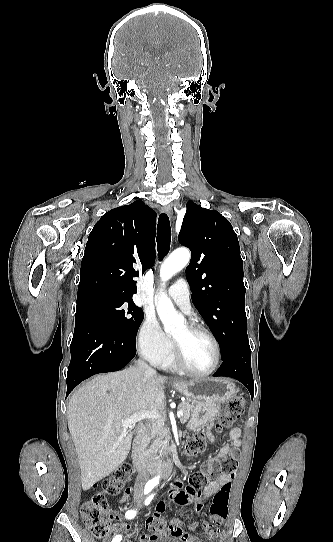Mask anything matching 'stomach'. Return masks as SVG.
Here are the masks:
<instances>
[{
    "label": "stomach",
    "mask_w": 333,
    "mask_h": 542,
    "mask_svg": "<svg viewBox=\"0 0 333 542\" xmlns=\"http://www.w3.org/2000/svg\"><path fill=\"white\" fill-rule=\"evenodd\" d=\"M176 392L193 402L190 430H198L217 420L222 404L234 398L237 388L228 378H195L189 382L176 380L172 384Z\"/></svg>",
    "instance_id": "obj_1"
}]
</instances>
